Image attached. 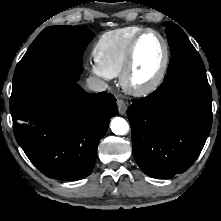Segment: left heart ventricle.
<instances>
[{
  "label": "left heart ventricle",
  "mask_w": 221,
  "mask_h": 221,
  "mask_svg": "<svg viewBox=\"0 0 221 221\" xmlns=\"http://www.w3.org/2000/svg\"><path fill=\"white\" fill-rule=\"evenodd\" d=\"M163 46L154 34L145 35L138 43L131 81L136 86L150 82L157 74L163 60Z\"/></svg>",
  "instance_id": "b2bd125f"
}]
</instances>
